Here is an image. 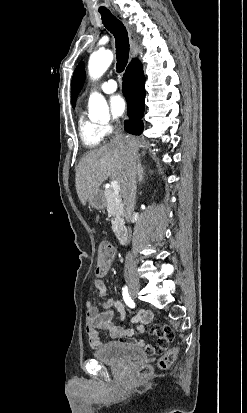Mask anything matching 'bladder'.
<instances>
[{
  "mask_svg": "<svg viewBox=\"0 0 247 413\" xmlns=\"http://www.w3.org/2000/svg\"><path fill=\"white\" fill-rule=\"evenodd\" d=\"M145 352L135 347L119 342H108L94 352V357L100 361L125 364L132 359L144 358Z\"/></svg>",
  "mask_w": 247,
  "mask_h": 413,
  "instance_id": "bladder-1",
  "label": "bladder"
}]
</instances>
